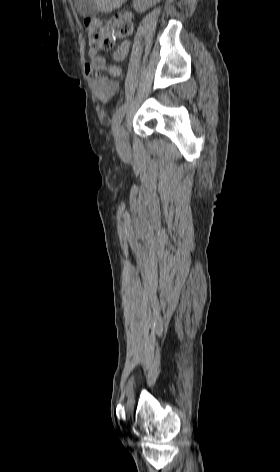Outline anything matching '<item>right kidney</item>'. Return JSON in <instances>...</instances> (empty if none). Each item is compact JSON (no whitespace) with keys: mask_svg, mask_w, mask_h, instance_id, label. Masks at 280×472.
Here are the masks:
<instances>
[{"mask_svg":"<svg viewBox=\"0 0 280 472\" xmlns=\"http://www.w3.org/2000/svg\"><path fill=\"white\" fill-rule=\"evenodd\" d=\"M159 1L160 0H134L133 6L137 12H144Z\"/></svg>","mask_w":280,"mask_h":472,"instance_id":"1","label":"right kidney"}]
</instances>
